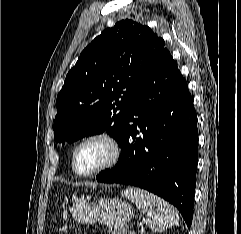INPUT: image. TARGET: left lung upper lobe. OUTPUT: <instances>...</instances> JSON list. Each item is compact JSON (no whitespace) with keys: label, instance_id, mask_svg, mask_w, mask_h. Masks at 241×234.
Instances as JSON below:
<instances>
[{"label":"left lung upper lobe","instance_id":"obj_1","mask_svg":"<svg viewBox=\"0 0 241 234\" xmlns=\"http://www.w3.org/2000/svg\"><path fill=\"white\" fill-rule=\"evenodd\" d=\"M165 49L161 37L132 20L104 30L82 51L57 96L55 141L106 131L121 146L129 106Z\"/></svg>","mask_w":241,"mask_h":234}]
</instances>
